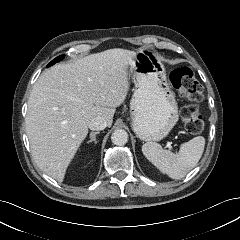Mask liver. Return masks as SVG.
<instances>
[{
	"mask_svg": "<svg viewBox=\"0 0 240 240\" xmlns=\"http://www.w3.org/2000/svg\"><path fill=\"white\" fill-rule=\"evenodd\" d=\"M135 52L105 50L44 71L34 84L25 119L31 152L38 167L62 182L88 134L89 122H113L115 108L128 93V68Z\"/></svg>",
	"mask_w": 240,
	"mask_h": 240,
	"instance_id": "obj_1",
	"label": "liver"
}]
</instances>
